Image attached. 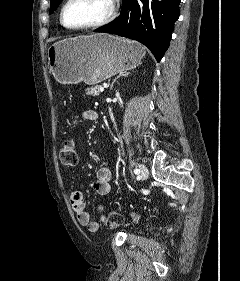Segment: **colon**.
Segmentation results:
<instances>
[{"mask_svg":"<svg viewBox=\"0 0 240 281\" xmlns=\"http://www.w3.org/2000/svg\"><path fill=\"white\" fill-rule=\"evenodd\" d=\"M59 159L65 167H75L78 163V154L75 148V144L72 140L64 141L60 152ZM103 222L111 227H117L123 222L122 215L117 211H111L102 217Z\"/></svg>","mask_w":240,"mask_h":281,"instance_id":"5ec220e1","label":"colon"}]
</instances>
